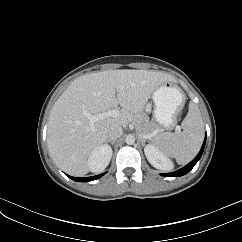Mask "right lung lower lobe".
<instances>
[{"label":"right lung lower lobe","instance_id":"obj_1","mask_svg":"<svg viewBox=\"0 0 242 242\" xmlns=\"http://www.w3.org/2000/svg\"><path fill=\"white\" fill-rule=\"evenodd\" d=\"M104 174L105 173H102V174H99V175H96V176H92V177H86V178H77V177H71V176H68V177L71 178L72 180L78 181V182H89V181H93V180L100 178Z\"/></svg>","mask_w":242,"mask_h":242}]
</instances>
